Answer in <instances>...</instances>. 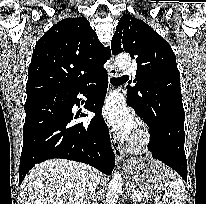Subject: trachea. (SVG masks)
<instances>
[{"label": "trachea", "instance_id": "3493384b", "mask_svg": "<svg viewBox=\"0 0 206 204\" xmlns=\"http://www.w3.org/2000/svg\"><path fill=\"white\" fill-rule=\"evenodd\" d=\"M122 81V79L121 78H111L110 79V82L112 83V84H118V83H120Z\"/></svg>", "mask_w": 206, "mask_h": 204}]
</instances>
